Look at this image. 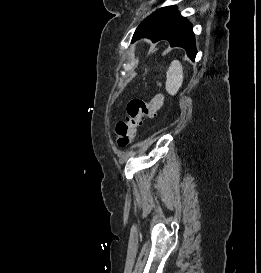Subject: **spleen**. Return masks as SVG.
I'll return each mask as SVG.
<instances>
[{"label": "spleen", "mask_w": 261, "mask_h": 273, "mask_svg": "<svg viewBox=\"0 0 261 273\" xmlns=\"http://www.w3.org/2000/svg\"><path fill=\"white\" fill-rule=\"evenodd\" d=\"M166 90L170 95H176L183 83V67L178 60L171 62L166 73Z\"/></svg>", "instance_id": "spleen-1"}]
</instances>
